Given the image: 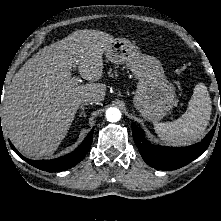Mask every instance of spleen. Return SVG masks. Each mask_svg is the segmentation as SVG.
Masks as SVG:
<instances>
[{
    "label": "spleen",
    "instance_id": "obj_1",
    "mask_svg": "<svg viewBox=\"0 0 221 221\" xmlns=\"http://www.w3.org/2000/svg\"><path fill=\"white\" fill-rule=\"evenodd\" d=\"M211 108L207 87L203 83H198L186 112L172 122L155 123V132L167 144L178 146L191 144L204 135L209 124Z\"/></svg>",
    "mask_w": 221,
    "mask_h": 221
}]
</instances>
